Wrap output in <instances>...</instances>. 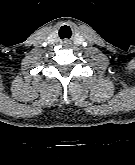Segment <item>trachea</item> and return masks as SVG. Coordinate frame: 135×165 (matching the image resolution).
Returning <instances> with one entry per match:
<instances>
[{
    "label": "trachea",
    "mask_w": 135,
    "mask_h": 165,
    "mask_svg": "<svg viewBox=\"0 0 135 165\" xmlns=\"http://www.w3.org/2000/svg\"><path fill=\"white\" fill-rule=\"evenodd\" d=\"M59 36L61 39L71 37V29L68 26H63L59 31Z\"/></svg>",
    "instance_id": "trachea-1"
}]
</instances>
